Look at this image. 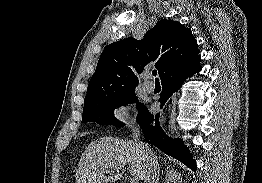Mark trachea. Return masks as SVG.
Here are the masks:
<instances>
[{
    "instance_id": "3493384b",
    "label": "trachea",
    "mask_w": 262,
    "mask_h": 183,
    "mask_svg": "<svg viewBox=\"0 0 262 183\" xmlns=\"http://www.w3.org/2000/svg\"><path fill=\"white\" fill-rule=\"evenodd\" d=\"M152 74H153L154 76H156V75H157V71H156V70H153V71H152ZM155 81H156V82H159L158 78H156Z\"/></svg>"
}]
</instances>
